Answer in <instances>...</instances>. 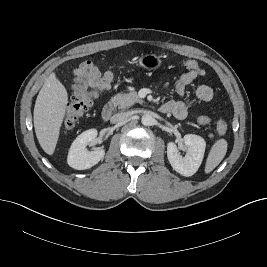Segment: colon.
Returning a JSON list of instances; mask_svg holds the SVG:
<instances>
[{"instance_id": "obj_1", "label": "colon", "mask_w": 267, "mask_h": 267, "mask_svg": "<svg viewBox=\"0 0 267 267\" xmlns=\"http://www.w3.org/2000/svg\"><path fill=\"white\" fill-rule=\"evenodd\" d=\"M183 65L188 70L197 71L203 74L197 61L193 59H186L183 61ZM114 80V74L112 72H105L92 86L88 87H77L71 97V100L67 106L64 118H63V128L65 130L72 129L79 119L90 110L93 105L94 99L97 95L108 89ZM217 132L223 135L227 131V123L223 119L217 121Z\"/></svg>"}]
</instances>
